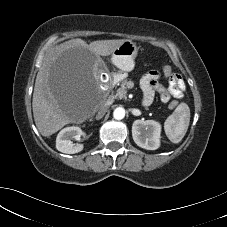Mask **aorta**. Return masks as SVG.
<instances>
[{
  "label": "aorta",
  "instance_id": "obj_1",
  "mask_svg": "<svg viewBox=\"0 0 227 227\" xmlns=\"http://www.w3.org/2000/svg\"><path fill=\"white\" fill-rule=\"evenodd\" d=\"M113 117L117 120H121L125 117V109L122 107H117L113 112Z\"/></svg>",
  "mask_w": 227,
  "mask_h": 227
}]
</instances>
